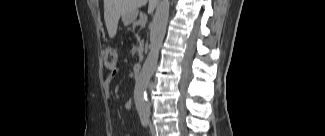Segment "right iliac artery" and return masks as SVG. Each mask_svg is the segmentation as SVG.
<instances>
[{
  "label": "right iliac artery",
  "instance_id": "82829eb1",
  "mask_svg": "<svg viewBox=\"0 0 325 136\" xmlns=\"http://www.w3.org/2000/svg\"><path fill=\"white\" fill-rule=\"evenodd\" d=\"M140 120L143 126H147L149 123V116L146 114H140Z\"/></svg>",
  "mask_w": 325,
  "mask_h": 136
}]
</instances>
